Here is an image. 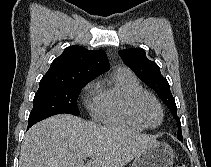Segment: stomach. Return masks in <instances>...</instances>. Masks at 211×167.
Instances as JSON below:
<instances>
[{
    "label": "stomach",
    "instance_id": "obj_1",
    "mask_svg": "<svg viewBox=\"0 0 211 167\" xmlns=\"http://www.w3.org/2000/svg\"><path fill=\"white\" fill-rule=\"evenodd\" d=\"M172 148L162 142H156L135 158L131 167H173Z\"/></svg>",
    "mask_w": 211,
    "mask_h": 167
}]
</instances>
